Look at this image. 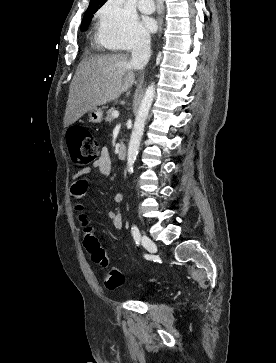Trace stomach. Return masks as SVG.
<instances>
[{
    "mask_svg": "<svg viewBox=\"0 0 276 363\" xmlns=\"http://www.w3.org/2000/svg\"><path fill=\"white\" fill-rule=\"evenodd\" d=\"M89 121L91 123H100L103 118V111L101 108H94L88 112Z\"/></svg>",
    "mask_w": 276,
    "mask_h": 363,
    "instance_id": "obj_1",
    "label": "stomach"
}]
</instances>
